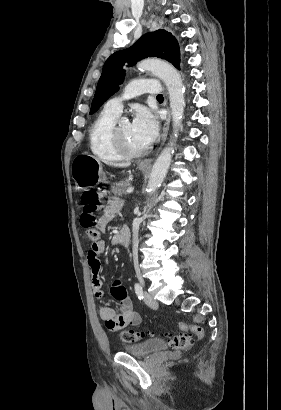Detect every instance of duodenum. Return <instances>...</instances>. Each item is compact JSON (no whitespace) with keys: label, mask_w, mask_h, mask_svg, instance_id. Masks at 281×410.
Wrapping results in <instances>:
<instances>
[{"label":"duodenum","mask_w":281,"mask_h":410,"mask_svg":"<svg viewBox=\"0 0 281 410\" xmlns=\"http://www.w3.org/2000/svg\"><path fill=\"white\" fill-rule=\"evenodd\" d=\"M130 230L126 225H123L117 238H116V244L125 247L129 244L130 242Z\"/></svg>","instance_id":"410a0bca"}]
</instances>
